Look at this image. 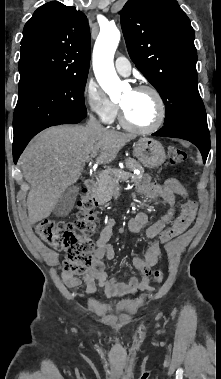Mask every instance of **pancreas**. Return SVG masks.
I'll return each mask as SVG.
<instances>
[{"label": "pancreas", "mask_w": 221, "mask_h": 379, "mask_svg": "<svg viewBox=\"0 0 221 379\" xmlns=\"http://www.w3.org/2000/svg\"><path fill=\"white\" fill-rule=\"evenodd\" d=\"M125 164L131 170H139L140 174L136 175L129 172H124L116 168H109L103 171L99 177V180L97 181L95 191L100 201L107 202L112 198V196L118 191L120 179L126 182H136L141 177V174L143 173V167L138 161L132 158H128L125 160ZM129 179L131 180L129 181Z\"/></svg>", "instance_id": "pancreas-1"}]
</instances>
